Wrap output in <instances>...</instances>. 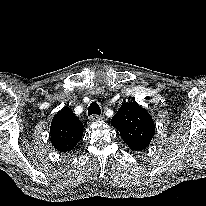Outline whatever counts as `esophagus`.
<instances>
[{
    "mask_svg": "<svg viewBox=\"0 0 206 206\" xmlns=\"http://www.w3.org/2000/svg\"><path fill=\"white\" fill-rule=\"evenodd\" d=\"M102 119H103V116H102V115H92V116L90 117V121H92V122L100 121V120H102Z\"/></svg>",
    "mask_w": 206,
    "mask_h": 206,
    "instance_id": "obj_1",
    "label": "esophagus"
}]
</instances>
